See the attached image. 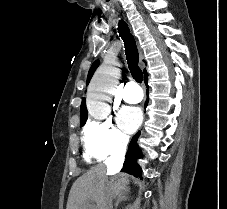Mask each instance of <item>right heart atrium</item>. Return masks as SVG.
Wrapping results in <instances>:
<instances>
[{"instance_id": "obj_1", "label": "right heart atrium", "mask_w": 227, "mask_h": 209, "mask_svg": "<svg viewBox=\"0 0 227 209\" xmlns=\"http://www.w3.org/2000/svg\"><path fill=\"white\" fill-rule=\"evenodd\" d=\"M129 137L111 120H90L82 131V144L86 157L103 161L126 152Z\"/></svg>"}]
</instances>
